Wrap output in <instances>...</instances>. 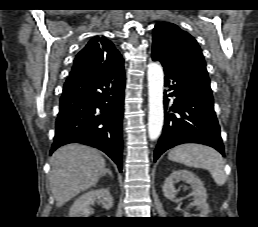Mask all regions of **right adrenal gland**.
Listing matches in <instances>:
<instances>
[{
    "mask_svg": "<svg viewBox=\"0 0 258 227\" xmlns=\"http://www.w3.org/2000/svg\"><path fill=\"white\" fill-rule=\"evenodd\" d=\"M105 172L108 173L109 176L113 177V174L109 168H107Z\"/></svg>",
    "mask_w": 258,
    "mask_h": 227,
    "instance_id": "obj_1",
    "label": "right adrenal gland"
}]
</instances>
